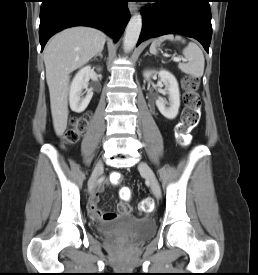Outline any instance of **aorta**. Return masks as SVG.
<instances>
[{
    "mask_svg": "<svg viewBox=\"0 0 258 275\" xmlns=\"http://www.w3.org/2000/svg\"><path fill=\"white\" fill-rule=\"evenodd\" d=\"M142 28V17L140 14H135L131 17L123 40L125 51H131L136 45Z\"/></svg>",
    "mask_w": 258,
    "mask_h": 275,
    "instance_id": "1",
    "label": "aorta"
}]
</instances>
